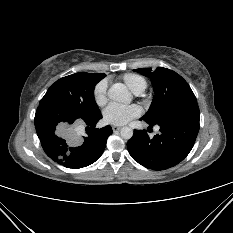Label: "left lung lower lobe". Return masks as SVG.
<instances>
[{
    "mask_svg": "<svg viewBox=\"0 0 233 233\" xmlns=\"http://www.w3.org/2000/svg\"><path fill=\"white\" fill-rule=\"evenodd\" d=\"M199 108L196 98L182 102L156 123L144 120L160 131L149 137L146 130H134L127 148L132 158L146 168L165 170L180 163L194 146L199 131Z\"/></svg>",
    "mask_w": 233,
    "mask_h": 233,
    "instance_id": "left-lung-lower-lobe-1",
    "label": "left lung lower lobe"
}]
</instances>
